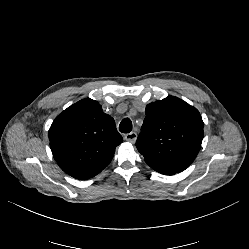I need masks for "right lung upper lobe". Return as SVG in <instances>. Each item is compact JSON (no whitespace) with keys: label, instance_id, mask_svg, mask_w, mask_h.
<instances>
[{"label":"right lung upper lobe","instance_id":"1","mask_svg":"<svg viewBox=\"0 0 249 249\" xmlns=\"http://www.w3.org/2000/svg\"><path fill=\"white\" fill-rule=\"evenodd\" d=\"M50 148L61 169L85 180L101 172L122 143L114 119L90 98L71 105L53 121Z\"/></svg>","mask_w":249,"mask_h":249}]
</instances>
